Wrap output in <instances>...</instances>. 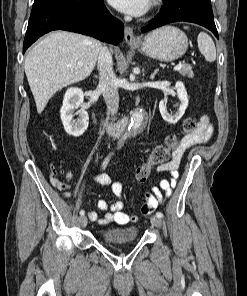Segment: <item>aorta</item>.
Masks as SVG:
<instances>
[{
    "instance_id": "1",
    "label": "aorta",
    "mask_w": 247,
    "mask_h": 296,
    "mask_svg": "<svg viewBox=\"0 0 247 296\" xmlns=\"http://www.w3.org/2000/svg\"><path fill=\"white\" fill-rule=\"evenodd\" d=\"M144 117H145V115H144V111L142 109L137 110L132 114L129 131H128V133H125L123 135V137L119 141L120 144L124 143V141L127 139V137L129 136V134L132 131L135 132L140 128V126L143 123Z\"/></svg>"
}]
</instances>
